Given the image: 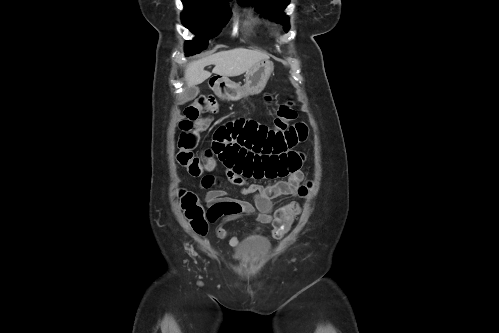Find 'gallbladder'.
Listing matches in <instances>:
<instances>
[{
	"instance_id": "bac80fb5",
	"label": "gallbladder",
	"mask_w": 499,
	"mask_h": 333,
	"mask_svg": "<svg viewBox=\"0 0 499 333\" xmlns=\"http://www.w3.org/2000/svg\"><path fill=\"white\" fill-rule=\"evenodd\" d=\"M198 93H199L198 88H197V87H194V86H193V87H189V88H187V89H186V91H185V95H186V98H187L188 100H193V99H195V98H196V96L198 95Z\"/></svg>"
}]
</instances>
